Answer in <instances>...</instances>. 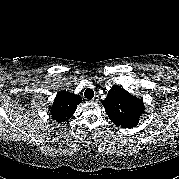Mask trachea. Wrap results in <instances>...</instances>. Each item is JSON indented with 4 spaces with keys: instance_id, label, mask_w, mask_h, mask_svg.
<instances>
[{
    "instance_id": "obj_1",
    "label": "trachea",
    "mask_w": 179,
    "mask_h": 179,
    "mask_svg": "<svg viewBox=\"0 0 179 179\" xmlns=\"http://www.w3.org/2000/svg\"><path fill=\"white\" fill-rule=\"evenodd\" d=\"M85 98L91 100L94 97V91L90 88H87L84 92Z\"/></svg>"
}]
</instances>
